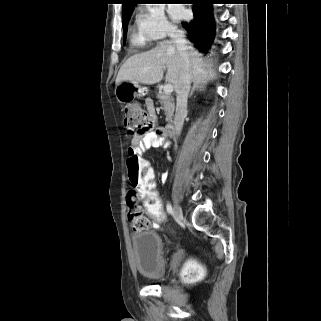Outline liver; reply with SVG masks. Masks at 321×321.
<instances>
[{
  "label": "liver",
  "instance_id": "obj_1",
  "mask_svg": "<svg viewBox=\"0 0 321 321\" xmlns=\"http://www.w3.org/2000/svg\"><path fill=\"white\" fill-rule=\"evenodd\" d=\"M187 47L193 81L207 83L215 78L216 73L204 63L201 54L191 45ZM165 68H167L166 81L176 90L181 74V59L174 41H163L153 49L127 59L118 72L116 85L123 81L156 84L162 80Z\"/></svg>",
  "mask_w": 321,
  "mask_h": 321
}]
</instances>
